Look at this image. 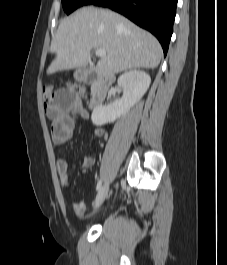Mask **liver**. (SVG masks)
<instances>
[{
	"label": "liver",
	"instance_id": "obj_1",
	"mask_svg": "<svg viewBox=\"0 0 227 265\" xmlns=\"http://www.w3.org/2000/svg\"><path fill=\"white\" fill-rule=\"evenodd\" d=\"M93 48L106 55L96 66L101 77L159 65L162 48L158 40L127 18L109 10L86 7L63 19L51 43L56 57L47 74L87 66Z\"/></svg>",
	"mask_w": 227,
	"mask_h": 265
}]
</instances>
